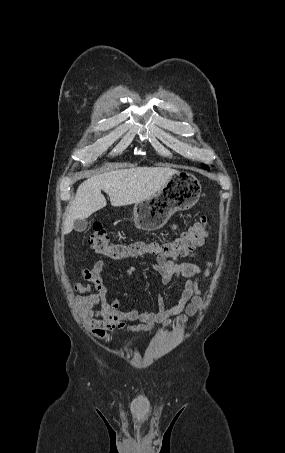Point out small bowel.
I'll list each match as a JSON object with an SVG mask.
<instances>
[{
	"label": "small bowel",
	"mask_w": 285,
	"mask_h": 453,
	"mask_svg": "<svg viewBox=\"0 0 285 453\" xmlns=\"http://www.w3.org/2000/svg\"><path fill=\"white\" fill-rule=\"evenodd\" d=\"M176 224L171 225L176 230ZM195 253L185 256L192 257ZM183 258V257H181ZM178 258H157L153 264L141 263L140 266L148 265L155 270L161 283L167 285L173 278H181L185 281V288L177 305L167 308L163 296L157 292V309L149 308L121 310L118 298L109 301L107 299V287L103 281L104 263L98 260L92 268L83 269L82 277L87 281L85 284L75 283L73 288L78 293L75 305L86 328L93 336L102 341H109L110 332L124 330L128 333H143L152 330L157 324L170 326L182 324L190 317L196 316L202 307L201 291L199 282L205 280L212 268L208 263L205 268L193 263H178ZM136 267H131L127 274L131 276ZM174 316V319L170 317ZM127 322H138L128 325Z\"/></svg>",
	"instance_id": "1"
}]
</instances>
